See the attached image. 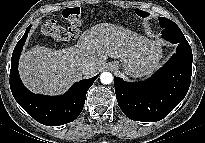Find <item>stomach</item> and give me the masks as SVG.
Returning <instances> with one entry per match:
<instances>
[{"label":"stomach","mask_w":205,"mask_h":143,"mask_svg":"<svg viewBox=\"0 0 205 143\" xmlns=\"http://www.w3.org/2000/svg\"><path fill=\"white\" fill-rule=\"evenodd\" d=\"M155 52H156V55H158L160 57L161 50L160 49H156ZM111 65H118V63L117 62H113V63H111ZM145 74H146L145 68L140 66L137 69H135L134 72L131 73V76L134 77V78H139V77H142Z\"/></svg>","instance_id":"1"}]
</instances>
